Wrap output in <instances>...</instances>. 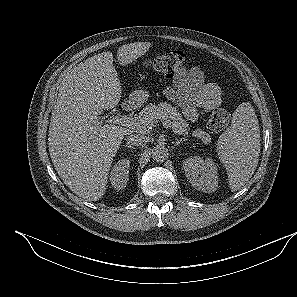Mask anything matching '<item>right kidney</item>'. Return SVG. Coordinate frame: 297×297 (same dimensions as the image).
Segmentation results:
<instances>
[{"mask_svg":"<svg viewBox=\"0 0 297 297\" xmlns=\"http://www.w3.org/2000/svg\"><path fill=\"white\" fill-rule=\"evenodd\" d=\"M130 162L127 159H121L114 164L110 173V183L115 190H122L126 187L129 180Z\"/></svg>","mask_w":297,"mask_h":297,"instance_id":"ca27d5eb","label":"right kidney"}]
</instances>
